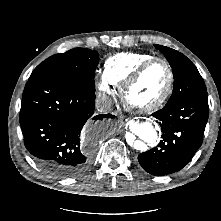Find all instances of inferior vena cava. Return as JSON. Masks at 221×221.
Returning <instances> with one entry per match:
<instances>
[{"mask_svg": "<svg viewBox=\"0 0 221 221\" xmlns=\"http://www.w3.org/2000/svg\"><path fill=\"white\" fill-rule=\"evenodd\" d=\"M112 100L110 97L108 96H101V97H98L95 101V106H96V109L99 111V112H109L111 111L112 109Z\"/></svg>", "mask_w": 221, "mask_h": 221, "instance_id": "602c4592", "label": "inferior vena cava"}]
</instances>
